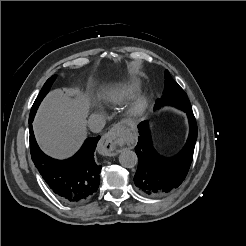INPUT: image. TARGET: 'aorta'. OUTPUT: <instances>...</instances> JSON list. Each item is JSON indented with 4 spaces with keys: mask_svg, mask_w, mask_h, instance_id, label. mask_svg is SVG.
<instances>
[{
    "mask_svg": "<svg viewBox=\"0 0 246 246\" xmlns=\"http://www.w3.org/2000/svg\"><path fill=\"white\" fill-rule=\"evenodd\" d=\"M119 162L123 167L132 168L138 162L137 154L132 150H125L120 154Z\"/></svg>",
    "mask_w": 246,
    "mask_h": 246,
    "instance_id": "aorta-1",
    "label": "aorta"
}]
</instances>
